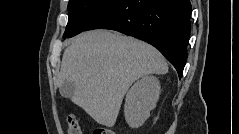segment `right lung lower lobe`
Returning a JSON list of instances; mask_svg holds the SVG:
<instances>
[{
	"mask_svg": "<svg viewBox=\"0 0 239 134\" xmlns=\"http://www.w3.org/2000/svg\"><path fill=\"white\" fill-rule=\"evenodd\" d=\"M191 12L189 0H117L83 31L111 29L146 41L173 64L180 78L187 60Z\"/></svg>",
	"mask_w": 239,
	"mask_h": 134,
	"instance_id": "1",
	"label": "right lung lower lobe"
}]
</instances>
